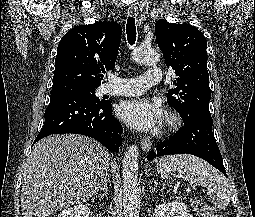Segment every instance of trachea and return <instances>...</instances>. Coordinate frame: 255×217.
I'll return each mask as SVG.
<instances>
[{
	"instance_id": "trachea-1",
	"label": "trachea",
	"mask_w": 255,
	"mask_h": 217,
	"mask_svg": "<svg viewBox=\"0 0 255 217\" xmlns=\"http://www.w3.org/2000/svg\"><path fill=\"white\" fill-rule=\"evenodd\" d=\"M126 34L130 45H133L136 41V25L134 17H128L126 24Z\"/></svg>"
}]
</instances>
